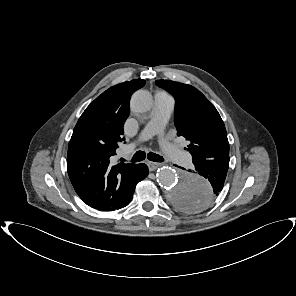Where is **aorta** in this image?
<instances>
[{"mask_svg":"<svg viewBox=\"0 0 296 296\" xmlns=\"http://www.w3.org/2000/svg\"><path fill=\"white\" fill-rule=\"evenodd\" d=\"M152 107L153 99L147 91L139 90L133 94L131 109L134 112L146 114ZM157 181L172 205L190 213L206 210L214 198L211 182L197 172H189L183 168L162 167L157 171Z\"/></svg>","mask_w":296,"mask_h":296,"instance_id":"obj_1","label":"aorta"}]
</instances>
